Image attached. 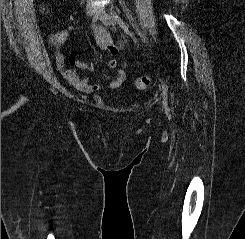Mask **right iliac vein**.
<instances>
[{
    "mask_svg": "<svg viewBox=\"0 0 245 239\" xmlns=\"http://www.w3.org/2000/svg\"><path fill=\"white\" fill-rule=\"evenodd\" d=\"M86 14L89 17H92L95 14V9L92 6H87Z\"/></svg>",
    "mask_w": 245,
    "mask_h": 239,
    "instance_id": "obj_1",
    "label": "right iliac vein"
}]
</instances>
